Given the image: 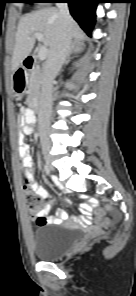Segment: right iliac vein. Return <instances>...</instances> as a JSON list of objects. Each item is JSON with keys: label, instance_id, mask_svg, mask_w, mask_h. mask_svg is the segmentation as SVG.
<instances>
[{"label": "right iliac vein", "instance_id": "right-iliac-vein-1", "mask_svg": "<svg viewBox=\"0 0 136 296\" xmlns=\"http://www.w3.org/2000/svg\"><path fill=\"white\" fill-rule=\"evenodd\" d=\"M45 161H46L47 165L53 170V167L51 166L50 155L48 153H46Z\"/></svg>", "mask_w": 136, "mask_h": 296}]
</instances>
